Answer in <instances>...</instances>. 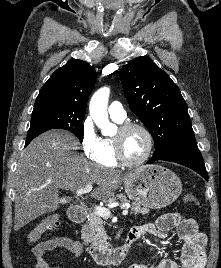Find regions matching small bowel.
Wrapping results in <instances>:
<instances>
[{
  "label": "small bowel",
  "instance_id": "obj_1",
  "mask_svg": "<svg viewBox=\"0 0 221 268\" xmlns=\"http://www.w3.org/2000/svg\"><path fill=\"white\" fill-rule=\"evenodd\" d=\"M175 229L178 237L184 242L180 264L172 259H161L155 263H134L128 268H205L207 262V236L199 230L197 221L192 217L177 212L166 213L157 218L154 223H146L132 228L138 239L144 234H150L165 239L168 232ZM65 248L74 256L82 253L81 244L67 236L57 237L35 244L32 253L36 257L35 268H61L49 264L44 254L55 248Z\"/></svg>",
  "mask_w": 221,
  "mask_h": 268
}]
</instances>
